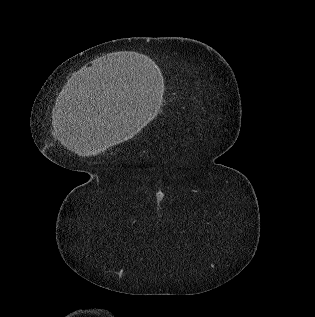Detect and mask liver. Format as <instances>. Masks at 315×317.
Here are the masks:
<instances>
[{"instance_id": "liver-1", "label": "liver", "mask_w": 315, "mask_h": 317, "mask_svg": "<svg viewBox=\"0 0 315 317\" xmlns=\"http://www.w3.org/2000/svg\"><path fill=\"white\" fill-rule=\"evenodd\" d=\"M61 142L81 156L96 155L109 146L123 142L137 133L139 124L117 114H98L90 107L67 109L59 123Z\"/></svg>"}]
</instances>
